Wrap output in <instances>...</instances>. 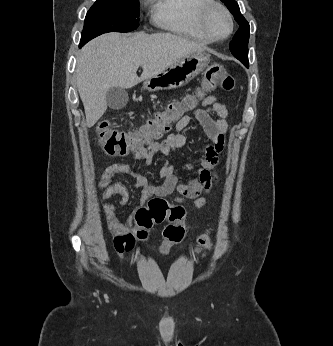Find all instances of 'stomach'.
Segmentation results:
<instances>
[{
	"label": "stomach",
	"mask_w": 333,
	"mask_h": 346,
	"mask_svg": "<svg viewBox=\"0 0 333 346\" xmlns=\"http://www.w3.org/2000/svg\"><path fill=\"white\" fill-rule=\"evenodd\" d=\"M209 61L210 55L205 51L191 53L163 72L147 78L143 83V89L154 92L182 87L204 71Z\"/></svg>",
	"instance_id": "0dacf381"
}]
</instances>
